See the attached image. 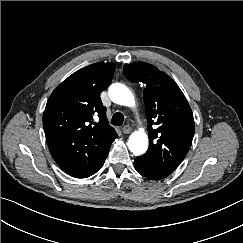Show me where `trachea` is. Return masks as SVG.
Here are the masks:
<instances>
[{
    "mask_svg": "<svg viewBox=\"0 0 243 243\" xmlns=\"http://www.w3.org/2000/svg\"><path fill=\"white\" fill-rule=\"evenodd\" d=\"M124 122V116L122 113L117 112L112 116L111 124L115 126H121Z\"/></svg>",
    "mask_w": 243,
    "mask_h": 243,
    "instance_id": "trachea-1",
    "label": "trachea"
}]
</instances>
